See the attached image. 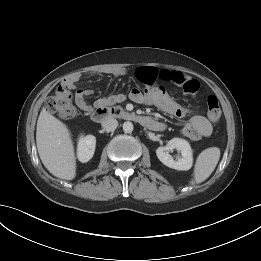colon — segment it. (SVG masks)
<instances>
[{
    "label": "colon",
    "mask_w": 261,
    "mask_h": 261,
    "mask_svg": "<svg viewBox=\"0 0 261 261\" xmlns=\"http://www.w3.org/2000/svg\"><path fill=\"white\" fill-rule=\"evenodd\" d=\"M72 88L70 83L59 85L55 93L47 100L48 111L58 115L60 118L69 120L75 117L76 109L72 102ZM208 119L217 122L221 117V109L216 96L211 95L207 99Z\"/></svg>",
    "instance_id": "5ec220e1"
}]
</instances>
